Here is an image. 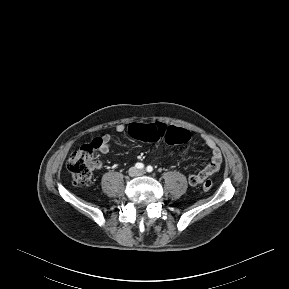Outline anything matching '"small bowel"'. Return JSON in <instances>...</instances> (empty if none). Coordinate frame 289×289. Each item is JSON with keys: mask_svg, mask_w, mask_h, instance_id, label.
<instances>
[{"mask_svg": "<svg viewBox=\"0 0 289 289\" xmlns=\"http://www.w3.org/2000/svg\"><path fill=\"white\" fill-rule=\"evenodd\" d=\"M126 128L127 126L125 124H118L116 126V131L124 132ZM100 139L102 144L99 151L101 153H107L110 149L111 137L109 134H105ZM203 141L211 151V158L203 169L189 176V184L193 187L200 185L206 178L216 173L220 169L222 163V154L217 144L208 137L203 138Z\"/></svg>", "mask_w": 289, "mask_h": 289, "instance_id": "small-bowel-1", "label": "small bowel"}]
</instances>
